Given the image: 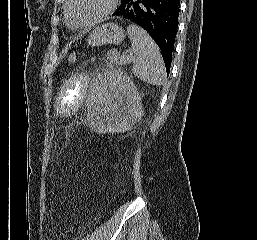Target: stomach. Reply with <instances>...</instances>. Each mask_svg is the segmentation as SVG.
I'll list each match as a JSON object with an SVG mask.
<instances>
[{
    "instance_id": "stomach-1",
    "label": "stomach",
    "mask_w": 257,
    "mask_h": 240,
    "mask_svg": "<svg viewBox=\"0 0 257 240\" xmlns=\"http://www.w3.org/2000/svg\"><path fill=\"white\" fill-rule=\"evenodd\" d=\"M125 35L121 27L115 23H105L96 27L88 36V45L119 44Z\"/></svg>"
}]
</instances>
